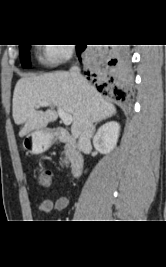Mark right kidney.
<instances>
[{"label": "right kidney", "instance_id": "right-kidney-1", "mask_svg": "<svg viewBox=\"0 0 166 267\" xmlns=\"http://www.w3.org/2000/svg\"><path fill=\"white\" fill-rule=\"evenodd\" d=\"M120 126L115 121H110L101 126L94 136L93 144L96 150L107 154L114 149L119 137Z\"/></svg>", "mask_w": 166, "mask_h": 267}]
</instances>
